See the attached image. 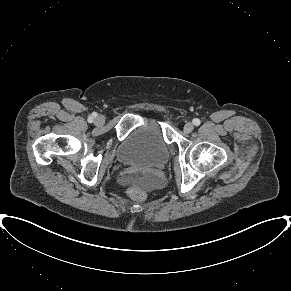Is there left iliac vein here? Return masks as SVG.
Instances as JSON below:
<instances>
[{
    "mask_svg": "<svg viewBox=\"0 0 291 291\" xmlns=\"http://www.w3.org/2000/svg\"><path fill=\"white\" fill-rule=\"evenodd\" d=\"M193 128H194L193 124L188 122L184 125L183 130L185 133H190V132H192Z\"/></svg>",
    "mask_w": 291,
    "mask_h": 291,
    "instance_id": "4c4485c4",
    "label": "left iliac vein"
}]
</instances>
